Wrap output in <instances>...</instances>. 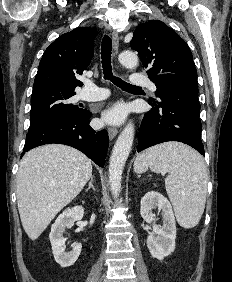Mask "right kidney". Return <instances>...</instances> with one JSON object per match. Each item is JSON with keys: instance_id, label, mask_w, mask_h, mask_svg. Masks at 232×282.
<instances>
[{"instance_id": "ca27d5eb", "label": "right kidney", "mask_w": 232, "mask_h": 282, "mask_svg": "<svg viewBox=\"0 0 232 282\" xmlns=\"http://www.w3.org/2000/svg\"><path fill=\"white\" fill-rule=\"evenodd\" d=\"M84 215V209L82 206H75L68 208L58 216L55 223L51 227L49 239L52 245V251L55 261L63 268L69 267L75 263L78 259L82 245L75 243L73 249L70 252L65 251V239L63 233L66 228H71L75 221L81 220Z\"/></svg>"}]
</instances>
